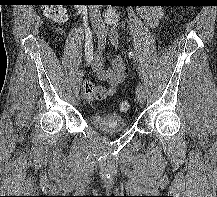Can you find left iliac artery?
<instances>
[{
	"mask_svg": "<svg viewBox=\"0 0 217 197\" xmlns=\"http://www.w3.org/2000/svg\"><path fill=\"white\" fill-rule=\"evenodd\" d=\"M109 36H110V40L112 42V44L115 46V47H119V44H120V40H119V35H118V31L116 29L115 26H113L110 30V33H109ZM128 55L129 57L133 60V61H138L139 60V56L133 52V51H128Z\"/></svg>",
	"mask_w": 217,
	"mask_h": 197,
	"instance_id": "1",
	"label": "left iliac artery"
}]
</instances>
